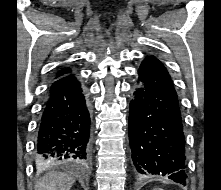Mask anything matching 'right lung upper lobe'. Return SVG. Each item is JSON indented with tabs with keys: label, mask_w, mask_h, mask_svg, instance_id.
<instances>
[{
	"label": "right lung upper lobe",
	"mask_w": 221,
	"mask_h": 190,
	"mask_svg": "<svg viewBox=\"0 0 221 190\" xmlns=\"http://www.w3.org/2000/svg\"><path fill=\"white\" fill-rule=\"evenodd\" d=\"M71 73V69L70 68H61L57 73H56V75H55V78H54V80H57V79H59V78H61V77H64V76H66V75H68V74H70Z\"/></svg>",
	"instance_id": "obj_1"
}]
</instances>
